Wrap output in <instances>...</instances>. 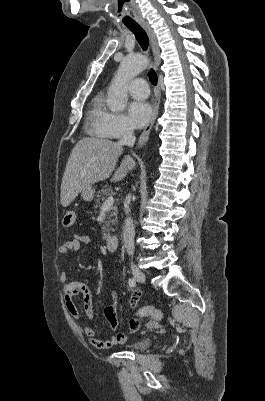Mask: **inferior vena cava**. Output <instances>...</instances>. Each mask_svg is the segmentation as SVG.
<instances>
[{
	"label": "inferior vena cava",
	"mask_w": 265,
	"mask_h": 401,
	"mask_svg": "<svg viewBox=\"0 0 265 401\" xmlns=\"http://www.w3.org/2000/svg\"><path fill=\"white\" fill-rule=\"evenodd\" d=\"M136 136L133 134V126L127 122L125 124L124 132L122 138L119 140V144H128V146H133L135 144ZM130 198L131 194H128L126 201L124 203V209L126 215H129L130 213ZM134 237H135V227L133 225L132 219L130 217H126L124 221V227H123V239H124V245L125 249L129 255V257H133L134 255Z\"/></svg>",
	"instance_id": "obj_1"
}]
</instances>
